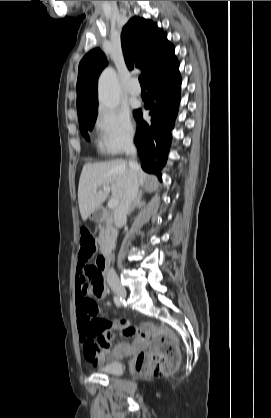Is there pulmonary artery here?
Instances as JSON below:
<instances>
[{
  "label": "pulmonary artery",
  "instance_id": "pulmonary-artery-1",
  "mask_svg": "<svg viewBox=\"0 0 271 418\" xmlns=\"http://www.w3.org/2000/svg\"><path fill=\"white\" fill-rule=\"evenodd\" d=\"M128 93L131 96L137 97L140 95L141 90L140 87L137 84V81L135 79H133L128 87Z\"/></svg>",
  "mask_w": 271,
  "mask_h": 418
}]
</instances>
